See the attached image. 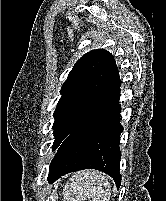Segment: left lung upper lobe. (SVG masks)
<instances>
[{"instance_id":"obj_1","label":"left lung upper lobe","mask_w":166,"mask_h":201,"mask_svg":"<svg viewBox=\"0 0 166 201\" xmlns=\"http://www.w3.org/2000/svg\"><path fill=\"white\" fill-rule=\"evenodd\" d=\"M120 83L116 63L108 51H90L75 63L62 85L54 113L53 151L112 96Z\"/></svg>"}]
</instances>
